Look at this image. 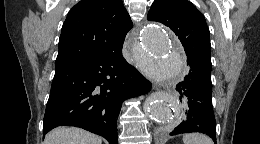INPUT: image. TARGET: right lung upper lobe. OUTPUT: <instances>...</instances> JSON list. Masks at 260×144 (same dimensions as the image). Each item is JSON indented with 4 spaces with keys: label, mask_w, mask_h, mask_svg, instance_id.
I'll list each match as a JSON object with an SVG mask.
<instances>
[{
    "label": "right lung upper lobe",
    "mask_w": 260,
    "mask_h": 144,
    "mask_svg": "<svg viewBox=\"0 0 260 144\" xmlns=\"http://www.w3.org/2000/svg\"><path fill=\"white\" fill-rule=\"evenodd\" d=\"M131 28L122 0H81L63 24L56 68L122 50Z\"/></svg>",
    "instance_id": "obj_1"
}]
</instances>
